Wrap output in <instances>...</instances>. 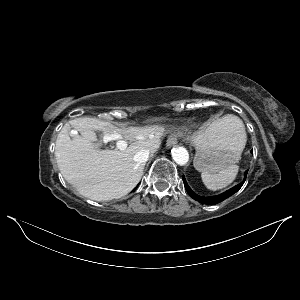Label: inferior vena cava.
<instances>
[{
    "instance_id": "1",
    "label": "inferior vena cava",
    "mask_w": 300,
    "mask_h": 300,
    "mask_svg": "<svg viewBox=\"0 0 300 300\" xmlns=\"http://www.w3.org/2000/svg\"><path fill=\"white\" fill-rule=\"evenodd\" d=\"M149 150L142 149L134 155V161L137 163H145L149 159Z\"/></svg>"
}]
</instances>
